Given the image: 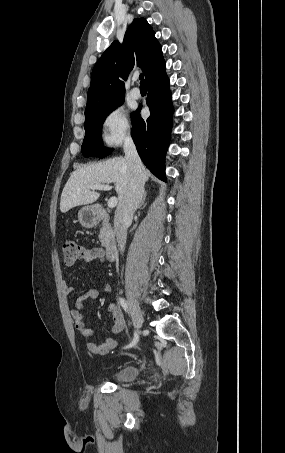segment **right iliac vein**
<instances>
[{"mask_svg": "<svg viewBox=\"0 0 285 453\" xmlns=\"http://www.w3.org/2000/svg\"><path fill=\"white\" fill-rule=\"evenodd\" d=\"M129 310L131 313L132 323L135 329H139L143 324V316L141 309L136 300L129 294L128 298Z\"/></svg>", "mask_w": 285, "mask_h": 453, "instance_id": "right-iliac-vein-1", "label": "right iliac vein"}]
</instances>
